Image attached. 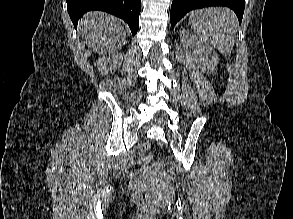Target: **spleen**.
Wrapping results in <instances>:
<instances>
[{"label": "spleen", "instance_id": "1", "mask_svg": "<svg viewBox=\"0 0 293 219\" xmlns=\"http://www.w3.org/2000/svg\"><path fill=\"white\" fill-rule=\"evenodd\" d=\"M189 23L196 36L213 45L222 54H229L235 44L237 18L225 7H211L190 13Z\"/></svg>", "mask_w": 293, "mask_h": 219}]
</instances>
